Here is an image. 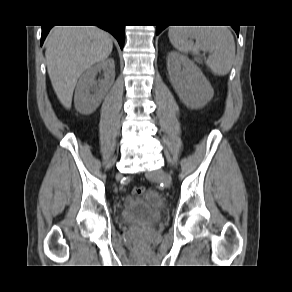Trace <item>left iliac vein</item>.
I'll return each mask as SVG.
<instances>
[{
	"label": "left iliac vein",
	"mask_w": 292,
	"mask_h": 292,
	"mask_svg": "<svg viewBox=\"0 0 292 292\" xmlns=\"http://www.w3.org/2000/svg\"><path fill=\"white\" fill-rule=\"evenodd\" d=\"M148 177L150 179L160 180L166 188H170L172 185L171 175L163 169H158V170H155V171L149 173Z\"/></svg>",
	"instance_id": "left-iliac-vein-1"
}]
</instances>
